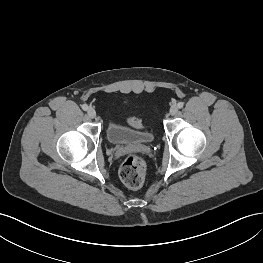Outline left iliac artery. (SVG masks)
<instances>
[{"label": "left iliac artery", "instance_id": "obj_1", "mask_svg": "<svg viewBox=\"0 0 263 263\" xmlns=\"http://www.w3.org/2000/svg\"><path fill=\"white\" fill-rule=\"evenodd\" d=\"M183 106H184V103H183V102H179V103L177 104V107H178L179 109L183 108Z\"/></svg>", "mask_w": 263, "mask_h": 263}]
</instances>
